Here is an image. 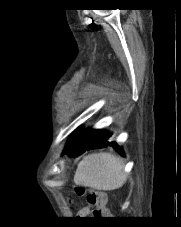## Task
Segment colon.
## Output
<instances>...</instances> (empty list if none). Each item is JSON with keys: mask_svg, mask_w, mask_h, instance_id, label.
Returning a JSON list of instances; mask_svg holds the SVG:
<instances>
[{"mask_svg": "<svg viewBox=\"0 0 181 227\" xmlns=\"http://www.w3.org/2000/svg\"><path fill=\"white\" fill-rule=\"evenodd\" d=\"M75 193L78 196L86 194L87 203L96 207L93 212L95 217L107 218L109 216V210L107 208V195L105 192L94 189L87 191L82 186H76Z\"/></svg>", "mask_w": 181, "mask_h": 227, "instance_id": "1", "label": "colon"}]
</instances>
